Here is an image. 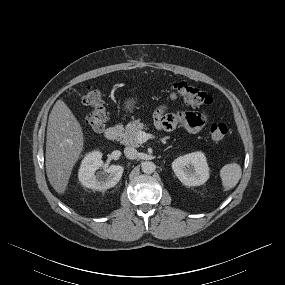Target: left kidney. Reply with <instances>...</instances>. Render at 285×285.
<instances>
[{
  "label": "left kidney",
  "mask_w": 285,
  "mask_h": 285,
  "mask_svg": "<svg viewBox=\"0 0 285 285\" xmlns=\"http://www.w3.org/2000/svg\"><path fill=\"white\" fill-rule=\"evenodd\" d=\"M177 178L186 186H200L209 179V167L202 152L180 156L172 162Z\"/></svg>",
  "instance_id": "left-kidney-1"
}]
</instances>
